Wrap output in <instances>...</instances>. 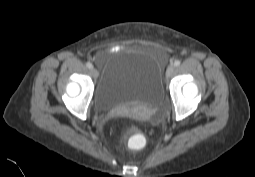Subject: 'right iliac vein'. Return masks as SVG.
<instances>
[{
    "label": "right iliac vein",
    "mask_w": 255,
    "mask_h": 177,
    "mask_svg": "<svg viewBox=\"0 0 255 177\" xmlns=\"http://www.w3.org/2000/svg\"><path fill=\"white\" fill-rule=\"evenodd\" d=\"M90 72H91V75H92L94 78H97L98 75H99L97 69H95V68H93V67L90 69Z\"/></svg>",
    "instance_id": "1"
}]
</instances>
